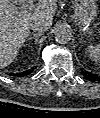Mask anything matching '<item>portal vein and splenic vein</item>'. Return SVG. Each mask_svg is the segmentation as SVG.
Segmentation results:
<instances>
[{
    "label": "portal vein and splenic vein",
    "mask_w": 100,
    "mask_h": 118,
    "mask_svg": "<svg viewBox=\"0 0 100 118\" xmlns=\"http://www.w3.org/2000/svg\"><path fill=\"white\" fill-rule=\"evenodd\" d=\"M25 1L21 2L20 6L18 7L19 11H26V10H32L34 8V0H28L26 3Z\"/></svg>",
    "instance_id": "1"
}]
</instances>
